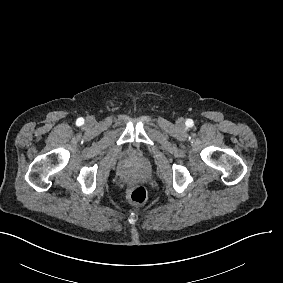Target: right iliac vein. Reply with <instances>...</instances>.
<instances>
[{
    "label": "right iliac vein",
    "mask_w": 283,
    "mask_h": 283,
    "mask_svg": "<svg viewBox=\"0 0 283 283\" xmlns=\"http://www.w3.org/2000/svg\"><path fill=\"white\" fill-rule=\"evenodd\" d=\"M94 122V118L93 117H89L86 120V123L92 124Z\"/></svg>",
    "instance_id": "right-iliac-vein-1"
}]
</instances>
